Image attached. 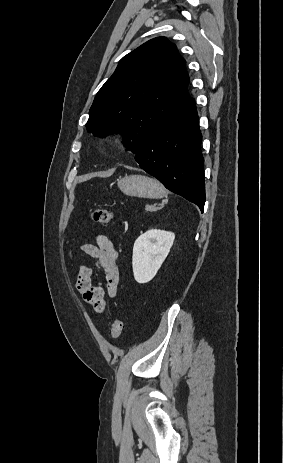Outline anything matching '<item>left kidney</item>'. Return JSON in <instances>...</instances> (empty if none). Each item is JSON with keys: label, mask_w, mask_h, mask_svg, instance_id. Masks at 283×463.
<instances>
[{"label": "left kidney", "mask_w": 283, "mask_h": 463, "mask_svg": "<svg viewBox=\"0 0 283 463\" xmlns=\"http://www.w3.org/2000/svg\"><path fill=\"white\" fill-rule=\"evenodd\" d=\"M175 234L151 229L137 238L133 247L132 267L135 280L147 283L154 278L173 245Z\"/></svg>", "instance_id": "obj_1"}]
</instances>
